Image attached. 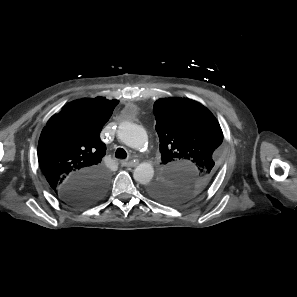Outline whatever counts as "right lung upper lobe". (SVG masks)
<instances>
[{"instance_id":"obj_1","label":"right lung upper lobe","mask_w":297,"mask_h":297,"mask_svg":"<svg viewBox=\"0 0 297 297\" xmlns=\"http://www.w3.org/2000/svg\"><path fill=\"white\" fill-rule=\"evenodd\" d=\"M118 102L103 97L76 100L47 122L38 143V160L57 195L79 173L106 171L101 162L106 146L99 134Z\"/></svg>"}]
</instances>
